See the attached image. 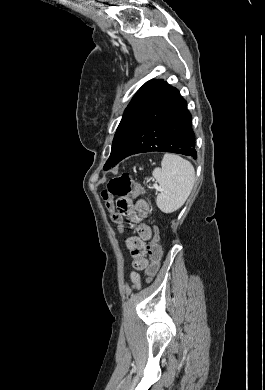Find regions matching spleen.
<instances>
[{
    "instance_id": "1",
    "label": "spleen",
    "mask_w": 265,
    "mask_h": 390,
    "mask_svg": "<svg viewBox=\"0 0 265 390\" xmlns=\"http://www.w3.org/2000/svg\"><path fill=\"white\" fill-rule=\"evenodd\" d=\"M152 175L160 185L156 198L158 208L172 213L183 206L195 181L193 165L178 155L166 153L161 168H155Z\"/></svg>"
}]
</instances>
